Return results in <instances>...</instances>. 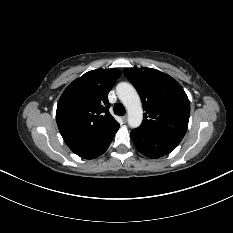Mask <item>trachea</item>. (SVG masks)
<instances>
[{
  "label": "trachea",
  "mask_w": 233,
  "mask_h": 233,
  "mask_svg": "<svg viewBox=\"0 0 233 233\" xmlns=\"http://www.w3.org/2000/svg\"><path fill=\"white\" fill-rule=\"evenodd\" d=\"M113 109L116 115L123 116L125 114V107L121 103H116Z\"/></svg>",
  "instance_id": "1"
}]
</instances>
